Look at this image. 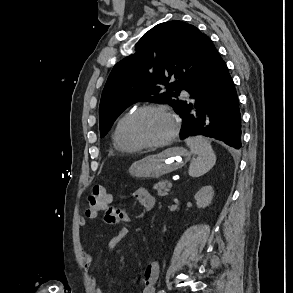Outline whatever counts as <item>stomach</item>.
Segmentation results:
<instances>
[{
    "instance_id": "1",
    "label": "stomach",
    "mask_w": 293,
    "mask_h": 293,
    "mask_svg": "<svg viewBox=\"0 0 293 293\" xmlns=\"http://www.w3.org/2000/svg\"><path fill=\"white\" fill-rule=\"evenodd\" d=\"M190 159V152L182 147H172L159 154L135 161L129 168L137 178H160L181 168Z\"/></svg>"
}]
</instances>
